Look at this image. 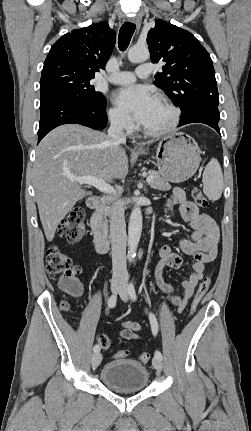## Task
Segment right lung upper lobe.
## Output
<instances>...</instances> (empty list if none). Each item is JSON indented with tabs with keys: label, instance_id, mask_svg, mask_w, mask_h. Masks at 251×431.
Returning a JSON list of instances; mask_svg holds the SVG:
<instances>
[{
	"label": "right lung upper lobe",
	"instance_id": "right-lung-upper-lobe-1",
	"mask_svg": "<svg viewBox=\"0 0 251 431\" xmlns=\"http://www.w3.org/2000/svg\"><path fill=\"white\" fill-rule=\"evenodd\" d=\"M115 42V32L106 22L72 30L51 47L43 68L67 64L94 75L99 68L105 69Z\"/></svg>",
	"mask_w": 251,
	"mask_h": 431
}]
</instances>
